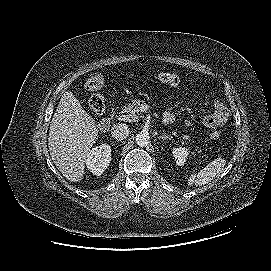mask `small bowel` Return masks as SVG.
I'll use <instances>...</instances> for the list:
<instances>
[{
	"label": "small bowel",
	"instance_id": "obj_1",
	"mask_svg": "<svg viewBox=\"0 0 271 271\" xmlns=\"http://www.w3.org/2000/svg\"><path fill=\"white\" fill-rule=\"evenodd\" d=\"M228 116L229 113L226 106L223 103L216 101L213 106V111L203 117L202 124L207 128L220 127L227 121ZM163 121L165 124H171L175 121V115L172 112L167 111L163 115ZM186 124L191 126L193 122L187 120Z\"/></svg>",
	"mask_w": 271,
	"mask_h": 271
}]
</instances>
